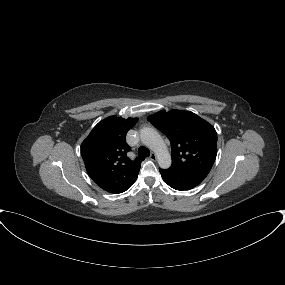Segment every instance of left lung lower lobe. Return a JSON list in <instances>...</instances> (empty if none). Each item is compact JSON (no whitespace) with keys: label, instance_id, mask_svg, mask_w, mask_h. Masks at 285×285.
Masks as SVG:
<instances>
[{"label":"left lung lower lobe","instance_id":"0a47b994","mask_svg":"<svg viewBox=\"0 0 285 285\" xmlns=\"http://www.w3.org/2000/svg\"><path fill=\"white\" fill-rule=\"evenodd\" d=\"M166 184L176 190H190L199 185L208 175L207 172H182L174 169H159Z\"/></svg>","mask_w":285,"mask_h":285}]
</instances>
